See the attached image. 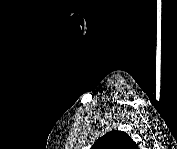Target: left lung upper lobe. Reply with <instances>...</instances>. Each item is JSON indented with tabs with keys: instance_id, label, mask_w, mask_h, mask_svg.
<instances>
[{
	"instance_id": "obj_1",
	"label": "left lung upper lobe",
	"mask_w": 177,
	"mask_h": 149,
	"mask_svg": "<svg viewBox=\"0 0 177 149\" xmlns=\"http://www.w3.org/2000/svg\"><path fill=\"white\" fill-rule=\"evenodd\" d=\"M136 143L123 131H111L98 138L91 149H136Z\"/></svg>"
}]
</instances>
